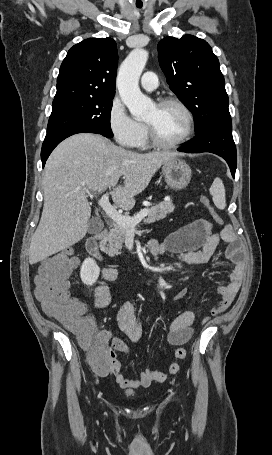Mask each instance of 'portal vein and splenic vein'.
I'll return each instance as SVG.
<instances>
[{
	"instance_id": "obj_1",
	"label": "portal vein and splenic vein",
	"mask_w": 272,
	"mask_h": 455,
	"mask_svg": "<svg viewBox=\"0 0 272 455\" xmlns=\"http://www.w3.org/2000/svg\"><path fill=\"white\" fill-rule=\"evenodd\" d=\"M99 206L104 210L108 217H110L115 223L122 226L125 229L133 230L135 226L141 222V220L147 216L148 211H141L136 217L131 218L120 214L109 202V193L104 194L98 200Z\"/></svg>"
}]
</instances>
